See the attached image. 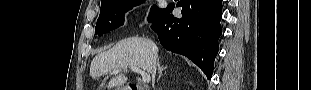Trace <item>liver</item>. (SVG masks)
<instances>
[{
  "mask_svg": "<svg viewBox=\"0 0 311 90\" xmlns=\"http://www.w3.org/2000/svg\"><path fill=\"white\" fill-rule=\"evenodd\" d=\"M157 53L156 44L149 39L139 37L123 39L110 50L95 56L90 66V77L99 80L107 74H113L114 77L107 85L110 90L114 86H121L127 82L125 71L131 66H137L153 76L156 71ZM116 70L120 72L115 73ZM103 86L105 82H102L101 88Z\"/></svg>",
  "mask_w": 311,
  "mask_h": 90,
  "instance_id": "1",
  "label": "liver"
}]
</instances>
